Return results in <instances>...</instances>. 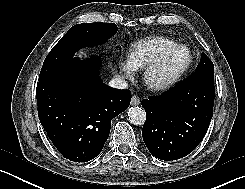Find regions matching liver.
<instances>
[{"instance_id": "6515ba94", "label": "liver", "mask_w": 245, "mask_h": 189, "mask_svg": "<svg viewBox=\"0 0 245 189\" xmlns=\"http://www.w3.org/2000/svg\"><path fill=\"white\" fill-rule=\"evenodd\" d=\"M82 54H83V53H82V52H80V53H78V56H79V57H81V56H82Z\"/></svg>"}]
</instances>
